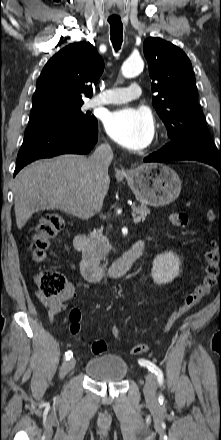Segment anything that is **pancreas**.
Segmentation results:
<instances>
[{"instance_id": "pancreas-1", "label": "pancreas", "mask_w": 221, "mask_h": 440, "mask_svg": "<svg viewBox=\"0 0 221 440\" xmlns=\"http://www.w3.org/2000/svg\"><path fill=\"white\" fill-rule=\"evenodd\" d=\"M132 209L134 213L141 217V219H145V217L150 214V210L144 204L137 207L133 206ZM106 251V238L102 235V232H92L90 235V242L84 251V256L90 260H98L106 253Z\"/></svg>"}]
</instances>
